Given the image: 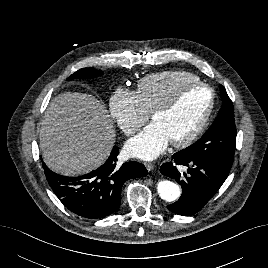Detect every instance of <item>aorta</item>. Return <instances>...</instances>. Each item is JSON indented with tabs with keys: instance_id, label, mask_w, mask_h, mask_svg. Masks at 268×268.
Segmentation results:
<instances>
[{
	"instance_id": "762f6f07",
	"label": "aorta",
	"mask_w": 268,
	"mask_h": 268,
	"mask_svg": "<svg viewBox=\"0 0 268 268\" xmlns=\"http://www.w3.org/2000/svg\"><path fill=\"white\" fill-rule=\"evenodd\" d=\"M157 191L159 196L167 202L175 201L181 194L179 185L168 180L159 181L157 183Z\"/></svg>"
}]
</instances>
